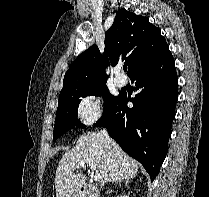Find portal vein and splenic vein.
<instances>
[{"instance_id":"portal-vein-and-splenic-vein-1","label":"portal vein and splenic vein","mask_w":209,"mask_h":197,"mask_svg":"<svg viewBox=\"0 0 209 197\" xmlns=\"http://www.w3.org/2000/svg\"><path fill=\"white\" fill-rule=\"evenodd\" d=\"M85 164L89 165L90 169L93 172H95V174H94V180L95 181H100L101 180V174L96 171V164L92 160H90V159L82 160L81 162H79L76 165V168L78 169L80 167H83V166H85Z\"/></svg>"}]
</instances>
